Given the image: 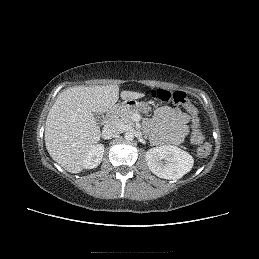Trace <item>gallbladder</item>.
<instances>
[{
    "mask_svg": "<svg viewBox=\"0 0 259 259\" xmlns=\"http://www.w3.org/2000/svg\"><path fill=\"white\" fill-rule=\"evenodd\" d=\"M94 118L97 124H101L104 120V115L102 113H94Z\"/></svg>",
    "mask_w": 259,
    "mask_h": 259,
    "instance_id": "gallbladder-1",
    "label": "gallbladder"
}]
</instances>
